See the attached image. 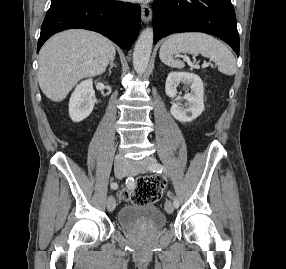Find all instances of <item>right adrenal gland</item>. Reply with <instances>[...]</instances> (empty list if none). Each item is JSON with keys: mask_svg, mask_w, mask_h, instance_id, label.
Segmentation results:
<instances>
[{"mask_svg": "<svg viewBox=\"0 0 286 269\" xmlns=\"http://www.w3.org/2000/svg\"><path fill=\"white\" fill-rule=\"evenodd\" d=\"M113 67H116V65L114 64V59L110 61L109 73H111V69Z\"/></svg>", "mask_w": 286, "mask_h": 269, "instance_id": "right-adrenal-gland-1", "label": "right adrenal gland"}]
</instances>
